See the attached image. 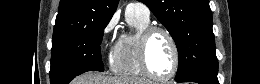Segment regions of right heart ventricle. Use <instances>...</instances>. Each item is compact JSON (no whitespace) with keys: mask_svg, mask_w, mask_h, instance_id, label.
I'll return each mask as SVG.
<instances>
[{"mask_svg":"<svg viewBox=\"0 0 260 84\" xmlns=\"http://www.w3.org/2000/svg\"><path fill=\"white\" fill-rule=\"evenodd\" d=\"M126 19L134 32L119 37L111 59V69L118 75L140 77L144 73L139 60V38L142 30L149 26V20L137 14H126Z\"/></svg>","mask_w":260,"mask_h":84,"instance_id":"right-heart-ventricle-1","label":"right heart ventricle"}]
</instances>
